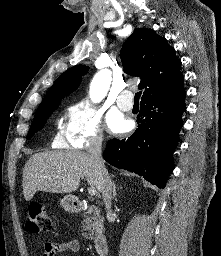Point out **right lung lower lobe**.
I'll use <instances>...</instances> for the list:
<instances>
[{
  "label": "right lung lower lobe",
  "instance_id": "1",
  "mask_svg": "<svg viewBox=\"0 0 221 256\" xmlns=\"http://www.w3.org/2000/svg\"><path fill=\"white\" fill-rule=\"evenodd\" d=\"M185 97L183 89L141 100L139 127L128 139L109 140L103 158L164 188L174 168L173 152L183 125Z\"/></svg>",
  "mask_w": 221,
  "mask_h": 256
}]
</instances>
